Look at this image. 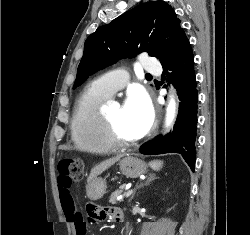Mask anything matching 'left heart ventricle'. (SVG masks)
Here are the masks:
<instances>
[{
  "label": "left heart ventricle",
  "instance_id": "b2bd125f",
  "mask_svg": "<svg viewBox=\"0 0 250 235\" xmlns=\"http://www.w3.org/2000/svg\"><path fill=\"white\" fill-rule=\"evenodd\" d=\"M107 115L114 121L118 133L126 141H134L139 138L137 132L134 130L130 118L127 116L124 107H115L107 111Z\"/></svg>",
  "mask_w": 250,
  "mask_h": 235
}]
</instances>
